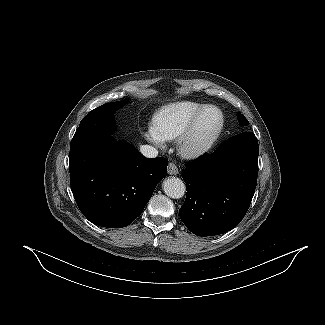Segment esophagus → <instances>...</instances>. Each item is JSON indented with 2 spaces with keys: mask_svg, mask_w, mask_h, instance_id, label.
Segmentation results:
<instances>
[{
  "mask_svg": "<svg viewBox=\"0 0 325 325\" xmlns=\"http://www.w3.org/2000/svg\"><path fill=\"white\" fill-rule=\"evenodd\" d=\"M167 172L170 175H177L179 171H178L177 166L173 162H171L168 165Z\"/></svg>",
  "mask_w": 325,
  "mask_h": 325,
  "instance_id": "1",
  "label": "esophagus"
}]
</instances>
